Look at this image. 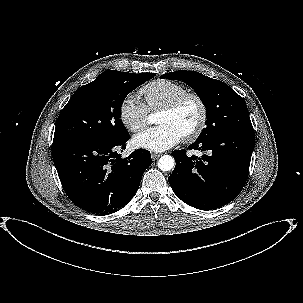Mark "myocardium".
Listing matches in <instances>:
<instances>
[{
	"instance_id": "1",
	"label": "myocardium",
	"mask_w": 303,
	"mask_h": 303,
	"mask_svg": "<svg viewBox=\"0 0 303 303\" xmlns=\"http://www.w3.org/2000/svg\"><path fill=\"white\" fill-rule=\"evenodd\" d=\"M188 99H193L198 104L199 120H198L196 126L191 131L184 134L182 136V138L185 141H193V140L197 139L203 132V130L206 126V123H207V118H208L207 106L200 95H198L197 93H193V92L183 93L180 96H178L177 98H175L174 100H172L170 103H168L167 105L162 107L160 109V112H164V113L175 112Z\"/></svg>"
}]
</instances>
